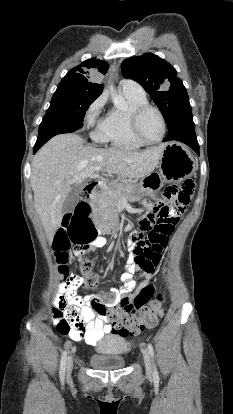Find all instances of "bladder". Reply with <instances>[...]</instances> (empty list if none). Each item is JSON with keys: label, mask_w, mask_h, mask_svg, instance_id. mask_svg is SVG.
Returning <instances> with one entry per match:
<instances>
[{"label": "bladder", "mask_w": 233, "mask_h": 414, "mask_svg": "<svg viewBox=\"0 0 233 414\" xmlns=\"http://www.w3.org/2000/svg\"><path fill=\"white\" fill-rule=\"evenodd\" d=\"M126 349L127 343L122 335L109 334L99 341L97 353L89 357V364L100 371L122 369L126 365V359L122 355Z\"/></svg>", "instance_id": "obj_1"}]
</instances>
